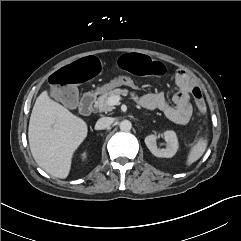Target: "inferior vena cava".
Instances as JSON below:
<instances>
[{
	"label": "inferior vena cava",
	"mask_w": 241,
	"mask_h": 241,
	"mask_svg": "<svg viewBox=\"0 0 241 241\" xmlns=\"http://www.w3.org/2000/svg\"><path fill=\"white\" fill-rule=\"evenodd\" d=\"M112 118L102 117L96 122V128L99 130L106 129L112 124Z\"/></svg>",
	"instance_id": "602c4592"
}]
</instances>
